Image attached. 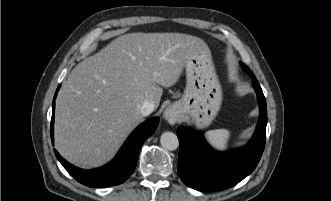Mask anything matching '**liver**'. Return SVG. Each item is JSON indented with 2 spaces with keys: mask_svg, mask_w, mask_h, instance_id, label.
<instances>
[{
  "mask_svg": "<svg viewBox=\"0 0 331 201\" xmlns=\"http://www.w3.org/2000/svg\"><path fill=\"white\" fill-rule=\"evenodd\" d=\"M206 43L182 33L122 35L74 67L55 109V146L81 168L108 162L142 122L145 100L158 107L187 60ZM162 86V87H161Z\"/></svg>",
  "mask_w": 331,
  "mask_h": 201,
  "instance_id": "6515ba94",
  "label": "liver"
}]
</instances>
